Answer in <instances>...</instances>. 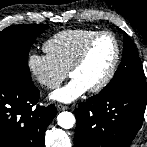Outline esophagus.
I'll return each mask as SVG.
<instances>
[{
    "mask_svg": "<svg viewBox=\"0 0 147 147\" xmlns=\"http://www.w3.org/2000/svg\"><path fill=\"white\" fill-rule=\"evenodd\" d=\"M57 109L60 110V111H62V110L69 109V107L66 106V105H63V104H57Z\"/></svg>",
    "mask_w": 147,
    "mask_h": 147,
    "instance_id": "esophagus-1",
    "label": "esophagus"
}]
</instances>
